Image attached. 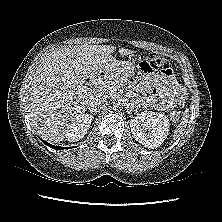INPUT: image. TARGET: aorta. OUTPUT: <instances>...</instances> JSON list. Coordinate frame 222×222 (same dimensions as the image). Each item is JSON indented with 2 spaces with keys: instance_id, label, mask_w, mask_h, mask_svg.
<instances>
[{
  "instance_id": "obj_1",
  "label": "aorta",
  "mask_w": 222,
  "mask_h": 222,
  "mask_svg": "<svg viewBox=\"0 0 222 222\" xmlns=\"http://www.w3.org/2000/svg\"><path fill=\"white\" fill-rule=\"evenodd\" d=\"M123 102L121 101V100H115V101H113V105H112V107H113V110H115V111H120V110H122L123 109Z\"/></svg>"
}]
</instances>
